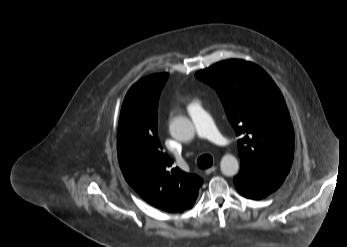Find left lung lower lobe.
I'll return each instance as SVG.
<instances>
[{
	"instance_id": "0a47b994",
	"label": "left lung lower lobe",
	"mask_w": 347,
	"mask_h": 247,
	"mask_svg": "<svg viewBox=\"0 0 347 247\" xmlns=\"http://www.w3.org/2000/svg\"><path fill=\"white\" fill-rule=\"evenodd\" d=\"M283 176L250 175L239 172L233 179L238 192L244 197L262 199L276 191L284 181Z\"/></svg>"
}]
</instances>
